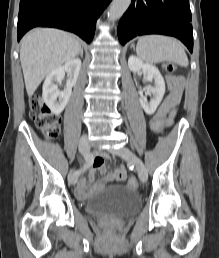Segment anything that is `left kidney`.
I'll list each match as a JSON object with an SVG mask.
<instances>
[{"instance_id": "5707ae66", "label": "left kidney", "mask_w": 219, "mask_h": 258, "mask_svg": "<svg viewBox=\"0 0 219 258\" xmlns=\"http://www.w3.org/2000/svg\"><path fill=\"white\" fill-rule=\"evenodd\" d=\"M128 66L129 69L133 72L142 70L144 79L147 82L154 81V86L147 85L144 88V90L152 93V99L150 103L147 102V99L143 95H140L139 98L140 104L145 113L151 115L156 111L158 105L163 99L165 93L164 79L157 67L149 63H144L141 59L134 55H131L129 57Z\"/></svg>"}]
</instances>
